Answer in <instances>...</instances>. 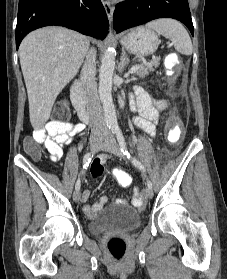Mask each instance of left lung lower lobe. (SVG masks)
Returning a JSON list of instances; mask_svg holds the SVG:
<instances>
[{
  "label": "left lung lower lobe",
  "mask_w": 227,
  "mask_h": 279,
  "mask_svg": "<svg viewBox=\"0 0 227 279\" xmlns=\"http://www.w3.org/2000/svg\"><path fill=\"white\" fill-rule=\"evenodd\" d=\"M170 17L184 23L194 34L187 0H128L119 3L114 12L117 33L158 18Z\"/></svg>",
  "instance_id": "obj_1"
}]
</instances>
